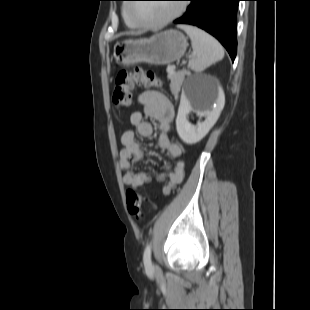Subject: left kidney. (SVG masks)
I'll use <instances>...</instances> for the list:
<instances>
[{
  "mask_svg": "<svg viewBox=\"0 0 310 310\" xmlns=\"http://www.w3.org/2000/svg\"><path fill=\"white\" fill-rule=\"evenodd\" d=\"M195 91L200 96L204 95L206 83L198 84ZM224 104L225 96L221 90H218L216 106L210 110L194 102L192 91L183 92L176 118V129L181 140L186 144H195L201 141L217 122ZM192 111L196 112L200 117H205V121L198 123L197 126L190 124L187 116Z\"/></svg>",
  "mask_w": 310,
  "mask_h": 310,
  "instance_id": "left-kidney-1",
  "label": "left kidney"
}]
</instances>
